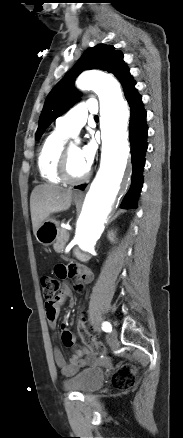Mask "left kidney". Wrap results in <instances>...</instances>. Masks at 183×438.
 Returning <instances> with one entry per match:
<instances>
[{
  "label": "left kidney",
  "instance_id": "obj_1",
  "mask_svg": "<svg viewBox=\"0 0 183 438\" xmlns=\"http://www.w3.org/2000/svg\"><path fill=\"white\" fill-rule=\"evenodd\" d=\"M108 238H109V240L111 241V242H113L114 241V238H115V233L114 232H109L108 233Z\"/></svg>",
  "mask_w": 183,
  "mask_h": 438
}]
</instances>
